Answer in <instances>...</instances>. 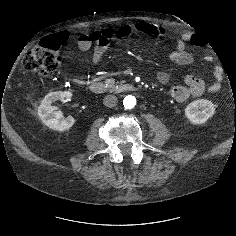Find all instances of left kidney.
<instances>
[{"instance_id": "left-kidney-1", "label": "left kidney", "mask_w": 236, "mask_h": 236, "mask_svg": "<svg viewBox=\"0 0 236 236\" xmlns=\"http://www.w3.org/2000/svg\"><path fill=\"white\" fill-rule=\"evenodd\" d=\"M215 114V105L206 99H198L185 108V115L193 124H204Z\"/></svg>"}]
</instances>
